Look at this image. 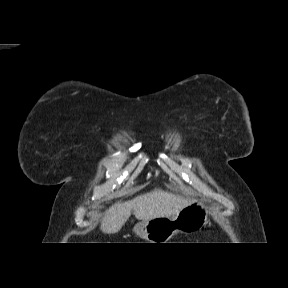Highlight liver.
I'll return each mask as SVG.
<instances>
[{"label":"liver","mask_w":288,"mask_h":288,"mask_svg":"<svg viewBox=\"0 0 288 288\" xmlns=\"http://www.w3.org/2000/svg\"><path fill=\"white\" fill-rule=\"evenodd\" d=\"M191 202L189 198L155 188L132 200L112 205L105 212L100 229L104 233L114 234L120 231L132 212L136 219L148 221L156 217L173 216Z\"/></svg>","instance_id":"6515ba94"}]
</instances>
